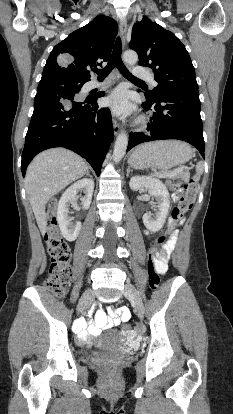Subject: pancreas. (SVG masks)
<instances>
[{
    "instance_id": "cf45deb5",
    "label": "pancreas",
    "mask_w": 233,
    "mask_h": 414,
    "mask_svg": "<svg viewBox=\"0 0 233 414\" xmlns=\"http://www.w3.org/2000/svg\"><path fill=\"white\" fill-rule=\"evenodd\" d=\"M173 173L172 175L169 176V178L172 179H187L189 178V172H179V173H174V172H159L158 174H156V176L158 177H164V175L166 174H170Z\"/></svg>"
}]
</instances>
